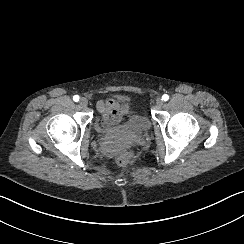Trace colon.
I'll return each instance as SVG.
<instances>
[{"label":"colon","instance_id":"1","mask_svg":"<svg viewBox=\"0 0 244 244\" xmlns=\"http://www.w3.org/2000/svg\"><path fill=\"white\" fill-rule=\"evenodd\" d=\"M117 163L120 166H128L131 163V158L128 155H120L117 158Z\"/></svg>","mask_w":244,"mask_h":244}]
</instances>
